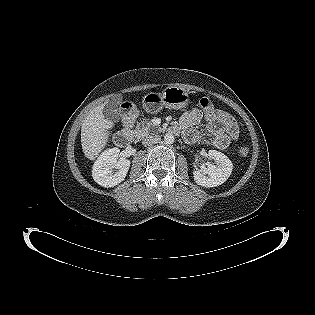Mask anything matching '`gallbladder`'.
Wrapping results in <instances>:
<instances>
[{"instance_id": "gallbladder-1", "label": "gallbladder", "mask_w": 315, "mask_h": 315, "mask_svg": "<svg viewBox=\"0 0 315 315\" xmlns=\"http://www.w3.org/2000/svg\"><path fill=\"white\" fill-rule=\"evenodd\" d=\"M103 115L110 121L117 122L119 120V115L116 111V102L111 100L105 105L103 109Z\"/></svg>"}]
</instances>
